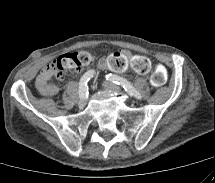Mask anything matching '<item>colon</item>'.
<instances>
[{
  "instance_id": "1",
  "label": "colon",
  "mask_w": 215,
  "mask_h": 183,
  "mask_svg": "<svg viewBox=\"0 0 215 183\" xmlns=\"http://www.w3.org/2000/svg\"><path fill=\"white\" fill-rule=\"evenodd\" d=\"M132 58V57H131ZM92 62V55L86 50L65 53L55 58L51 63V69L55 75L61 76L66 70H80ZM169 75V68L164 63H157L152 68L150 82L154 86H162Z\"/></svg>"
}]
</instances>
